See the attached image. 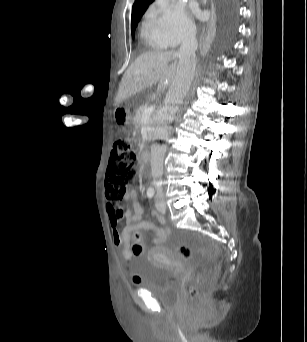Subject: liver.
<instances>
[{
	"label": "liver",
	"instance_id": "1",
	"mask_svg": "<svg viewBox=\"0 0 307 342\" xmlns=\"http://www.w3.org/2000/svg\"><path fill=\"white\" fill-rule=\"evenodd\" d=\"M177 54L170 52H144L126 70L115 98L116 106L133 94L158 84L159 92L171 86L177 72Z\"/></svg>",
	"mask_w": 307,
	"mask_h": 342
}]
</instances>
